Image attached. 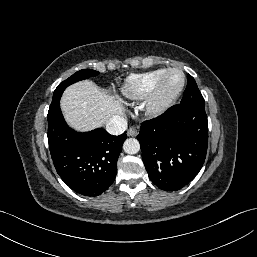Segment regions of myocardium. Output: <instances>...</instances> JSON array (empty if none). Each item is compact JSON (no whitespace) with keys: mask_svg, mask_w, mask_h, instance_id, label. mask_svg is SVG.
I'll return each instance as SVG.
<instances>
[{"mask_svg":"<svg viewBox=\"0 0 257 257\" xmlns=\"http://www.w3.org/2000/svg\"><path fill=\"white\" fill-rule=\"evenodd\" d=\"M171 73H179L182 77L180 86L173 92L165 91V81ZM185 74L177 68L167 69L158 80L153 92L148 97L147 111L153 116H158L167 110L171 104L180 96L185 86Z\"/></svg>","mask_w":257,"mask_h":257,"instance_id":"1","label":"myocardium"}]
</instances>
